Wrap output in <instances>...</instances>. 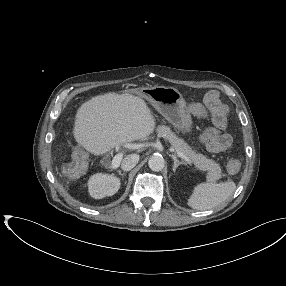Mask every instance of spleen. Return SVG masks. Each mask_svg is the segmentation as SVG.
<instances>
[{"mask_svg":"<svg viewBox=\"0 0 286 286\" xmlns=\"http://www.w3.org/2000/svg\"><path fill=\"white\" fill-rule=\"evenodd\" d=\"M236 189L233 181L196 185L187 204L196 210H209L218 207L232 196Z\"/></svg>","mask_w":286,"mask_h":286,"instance_id":"obj_1","label":"spleen"}]
</instances>
